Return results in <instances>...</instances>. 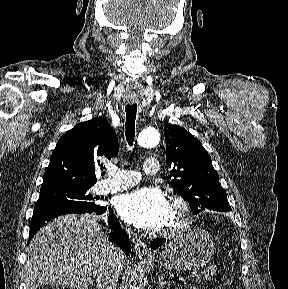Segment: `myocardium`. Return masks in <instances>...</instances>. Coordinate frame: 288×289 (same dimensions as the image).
Here are the masks:
<instances>
[{"instance_id": "1", "label": "myocardium", "mask_w": 288, "mask_h": 289, "mask_svg": "<svg viewBox=\"0 0 288 289\" xmlns=\"http://www.w3.org/2000/svg\"><path fill=\"white\" fill-rule=\"evenodd\" d=\"M170 204L179 212L178 221L168 226V233L172 235L181 234L189 230L192 226L193 212L192 206L185 198L180 196H173Z\"/></svg>"}]
</instances>
